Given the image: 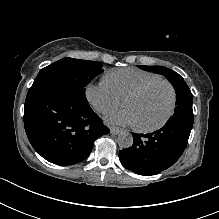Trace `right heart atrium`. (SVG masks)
<instances>
[{"mask_svg":"<svg viewBox=\"0 0 219 219\" xmlns=\"http://www.w3.org/2000/svg\"><path fill=\"white\" fill-rule=\"evenodd\" d=\"M85 97L95 111L108 114L121 106V101L113 94L105 80L98 84H88Z\"/></svg>","mask_w":219,"mask_h":219,"instance_id":"d8ad5b80","label":"right heart atrium"}]
</instances>
